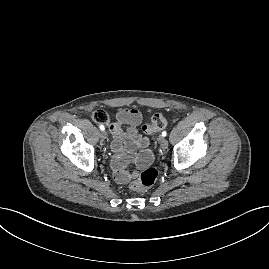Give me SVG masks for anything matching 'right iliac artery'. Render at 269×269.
Returning <instances> with one entry per match:
<instances>
[{
	"label": "right iliac artery",
	"mask_w": 269,
	"mask_h": 269,
	"mask_svg": "<svg viewBox=\"0 0 269 269\" xmlns=\"http://www.w3.org/2000/svg\"><path fill=\"white\" fill-rule=\"evenodd\" d=\"M100 130L104 131L105 127L103 125L99 126Z\"/></svg>",
	"instance_id": "obj_1"
}]
</instances>
